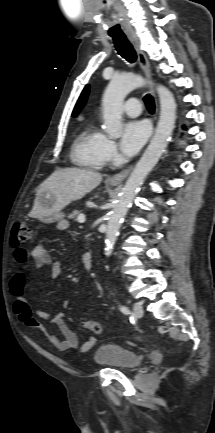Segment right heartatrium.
Here are the masks:
<instances>
[{
	"mask_svg": "<svg viewBox=\"0 0 215 433\" xmlns=\"http://www.w3.org/2000/svg\"><path fill=\"white\" fill-rule=\"evenodd\" d=\"M103 155L106 161H112L117 155V149L114 141L107 137H105L103 143Z\"/></svg>",
	"mask_w": 215,
	"mask_h": 433,
	"instance_id": "right-heart-atrium-1",
	"label": "right heart atrium"
}]
</instances>
